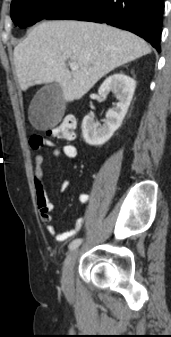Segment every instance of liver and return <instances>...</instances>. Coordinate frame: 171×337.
<instances>
[{"mask_svg": "<svg viewBox=\"0 0 171 337\" xmlns=\"http://www.w3.org/2000/svg\"><path fill=\"white\" fill-rule=\"evenodd\" d=\"M137 35L93 22L45 21L14 48L20 88L55 82L67 102L82 98L115 68L149 54ZM78 63L69 71L66 61Z\"/></svg>", "mask_w": 171, "mask_h": 337, "instance_id": "obj_1", "label": "liver"}]
</instances>
